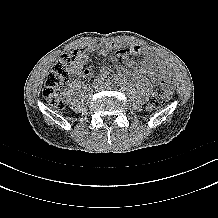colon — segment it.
I'll return each mask as SVG.
<instances>
[{
	"label": "colon",
	"mask_w": 218,
	"mask_h": 218,
	"mask_svg": "<svg viewBox=\"0 0 218 218\" xmlns=\"http://www.w3.org/2000/svg\"><path fill=\"white\" fill-rule=\"evenodd\" d=\"M78 51L63 55L49 72L43 87V96L52 106L63 107L61 98V88L68 82L71 68L75 61ZM167 79L164 76L161 86L152 94L147 102V109L155 111L159 109L167 99Z\"/></svg>",
	"instance_id": "5ec220e1"
}]
</instances>
